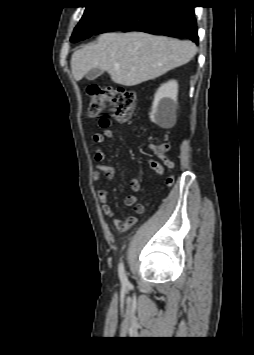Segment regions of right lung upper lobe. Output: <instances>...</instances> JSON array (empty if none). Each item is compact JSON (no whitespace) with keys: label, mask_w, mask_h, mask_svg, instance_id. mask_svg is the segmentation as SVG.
<instances>
[{"label":"right lung upper lobe","mask_w":254,"mask_h":355,"mask_svg":"<svg viewBox=\"0 0 254 355\" xmlns=\"http://www.w3.org/2000/svg\"><path fill=\"white\" fill-rule=\"evenodd\" d=\"M89 1L92 3V2L104 1V0H89ZM114 1H117V2H120V3H126V2H129L131 0H114Z\"/></svg>","instance_id":"1"}]
</instances>
